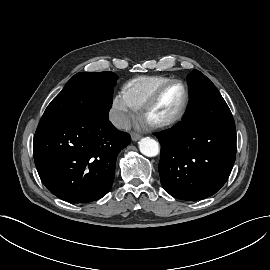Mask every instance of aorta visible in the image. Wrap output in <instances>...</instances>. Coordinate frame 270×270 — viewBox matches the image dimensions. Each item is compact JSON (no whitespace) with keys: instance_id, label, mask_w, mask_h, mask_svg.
I'll return each mask as SVG.
<instances>
[{"instance_id":"762f6f07","label":"aorta","mask_w":270,"mask_h":270,"mask_svg":"<svg viewBox=\"0 0 270 270\" xmlns=\"http://www.w3.org/2000/svg\"><path fill=\"white\" fill-rule=\"evenodd\" d=\"M139 150L147 157H154L159 153V144L150 137H144L139 141Z\"/></svg>"}]
</instances>
